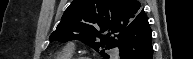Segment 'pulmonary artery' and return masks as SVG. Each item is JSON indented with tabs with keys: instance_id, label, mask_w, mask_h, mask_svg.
Returning a JSON list of instances; mask_svg holds the SVG:
<instances>
[{
	"instance_id": "obj_1",
	"label": "pulmonary artery",
	"mask_w": 193,
	"mask_h": 59,
	"mask_svg": "<svg viewBox=\"0 0 193 59\" xmlns=\"http://www.w3.org/2000/svg\"><path fill=\"white\" fill-rule=\"evenodd\" d=\"M67 49L73 50V46L69 45V46H67Z\"/></svg>"
}]
</instances>
